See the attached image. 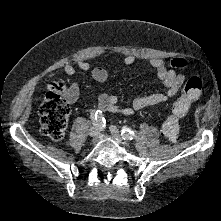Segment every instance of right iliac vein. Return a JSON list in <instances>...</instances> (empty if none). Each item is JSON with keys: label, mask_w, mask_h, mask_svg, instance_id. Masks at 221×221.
Here are the masks:
<instances>
[{"label": "right iliac vein", "mask_w": 221, "mask_h": 221, "mask_svg": "<svg viewBox=\"0 0 221 221\" xmlns=\"http://www.w3.org/2000/svg\"><path fill=\"white\" fill-rule=\"evenodd\" d=\"M89 135H90L92 138H97L98 135H99V130H98V128H96V127L91 128L90 131H89Z\"/></svg>", "instance_id": "63e3f726"}]
</instances>
